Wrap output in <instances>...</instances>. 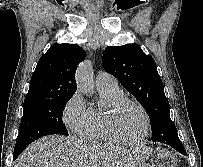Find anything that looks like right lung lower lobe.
<instances>
[{
    "mask_svg": "<svg viewBox=\"0 0 203 167\" xmlns=\"http://www.w3.org/2000/svg\"><path fill=\"white\" fill-rule=\"evenodd\" d=\"M22 151H19L18 153H16L15 155H14V160L19 156V154L21 153Z\"/></svg>",
    "mask_w": 203,
    "mask_h": 167,
    "instance_id": "98d812e1",
    "label": "right lung lower lobe"
}]
</instances>
